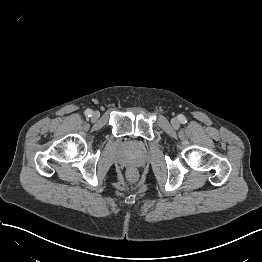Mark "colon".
Masks as SVG:
<instances>
[{
	"mask_svg": "<svg viewBox=\"0 0 262 262\" xmlns=\"http://www.w3.org/2000/svg\"><path fill=\"white\" fill-rule=\"evenodd\" d=\"M129 177H130L131 180H136V178H137V173H136L134 170H131V171L129 172Z\"/></svg>",
	"mask_w": 262,
	"mask_h": 262,
	"instance_id": "1",
	"label": "colon"
}]
</instances>
